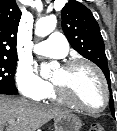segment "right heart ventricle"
<instances>
[{"mask_svg": "<svg viewBox=\"0 0 117 131\" xmlns=\"http://www.w3.org/2000/svg\"><path fill=\"white\" fill-rule=\"evenodd\" d=\"M45 98H49V99L54 100V101L58 100L56 95H55V93H54V91L52 89H50V91L45 96Z\"/></svg>", "mask_w": 117, "mask_h": 131, "instance_id": "1", "label": "right heart ventricle"}]
</instances>
